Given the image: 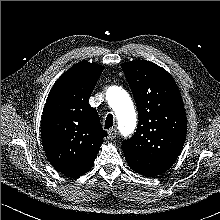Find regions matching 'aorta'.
<instances>
[{"label":"aorta","mask_w":220,"mask_h":220,"mask_svg":"<svg viewBox=\"0 0 220 220\" xmlns=\"http://www.w3.org/2000/svg\"><path fill=\"white\" fill-rule=\"evenodd\" d=\"M106 97L118 120L120 133L127 137L134 132L137 123L136 112L129 94L121 87L111 86L106 91Z\"/></svg>","instance_id":"762f6f07"}]
</instances>
